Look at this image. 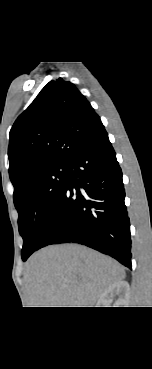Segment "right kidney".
<instances>
[{
	"label": "right kidney",
	"instance_id": "ca27d5eb",
	"mask_svg": "<svg viewBox=\"0 0 152 369\" xmlns=\"http://www.w3.org/2000/svg\"><path fill=\"white\" fill-rule=\"evenodd\" d=\"M129 292L130 286L126 281H119L108 287L105 292L100 296L96 307H111V301L114 296H117V300L114 302L113 307H128L129 304Z\"/></svg>",
	"mask_w": 152,
	"mask_h": 369
}]
</instances>
